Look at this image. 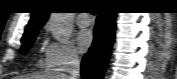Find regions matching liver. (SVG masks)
I'll list each match as a JSON object with an SVG mask.
<instances>
[{
  "mask_svg": "<svg viewBox=\"0 0 177 79\" xmlns=\"http://www.w3.org/2000/svg\"><path fill=\"white\" fill-rule=\"evenodd\" d=\"M19 79H70V78L63 73H45L29 76H19Z\"/></svg>",
  "mask_w": 177,
  "mask_h": 79,
  "instance_id": "liver-1",
  "label": "liver"
}]
</instances>
